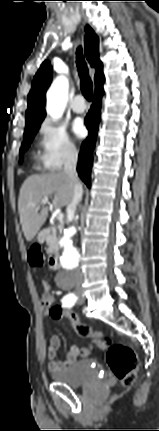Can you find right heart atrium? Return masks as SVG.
Returning <instances> with one entry per match:
<instances>
[{"instance_id":"d8ad5b80","label":"right heart atrium","mask_w":159,"mask_h":431,"mask_svg":"<svg viewBox=\"0 0 159 431\" xmlns=\"http://www.w3.org/2000/svg\"><path fill=\"white\" fill-rule=\"evenodd\" d=\"M39 160L42 166L51 171L74 160L78 151L65 129L46 119L38 127Z\"/></svg>"}]
</instances>
